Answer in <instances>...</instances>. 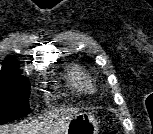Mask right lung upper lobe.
<instances>
[{
	"label": "right lung upper lobe",
	"mask_w": 153,
	"mask_h": 134,
	"mask_svg": "<svg viewBox=\"0 0 153 134\" xmlns=\"http://www.w3.org/2000/svg\"><path fill=\"white\" fill-rule=\"evenodd\" d=\"M2 71L0 72V78H16L25 77L21 76L19 70V63L12 56L7 57L2 64Z\"/></svg>",
	"instance_id": "right-lung-upper-lobe-1"
}]
</instances>
